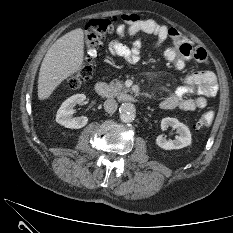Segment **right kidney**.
<instances>
[{
    "mask_svg": "<svg viewBox=\"0 0 233 233\" xmlns=\"http://www.w3.org/2000/svg\"><path fill=\"white\" fill-rule=\"evenodd\" d=\"M86 99L84 94H76L66 99L56 114V122L70 129H80L84 127L88 118L85 116L73 117L74 106L81 104Z\"/></svg>",
    "mask_w": 233,
    "mask_h": 233,
    "instance_id": "1",
    "label": "right kidney"
}]
</instances>
